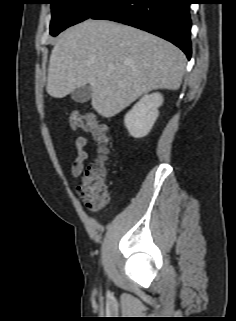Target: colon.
<instances>
[{
	"label": "colon",
	"mask_w": 236,
	"mask_h": 321,
	"mask_svg": "<svg viewBox=\"0 0 236 321\" xmlns=\"http://www.w3.org/2000/svg\"><path fill=\"white\" fill-rule=\"evenodd\" d=\"M69 125L74 130L90 133L98 146V157L88 166L78 185L80 198L90 207L99 209L108 202L106 190L107 166L106 160L110 151L111 138L105 125L99 123L93 114L71 112Z\"/></svg>",
	"instance_id": "5ec220e1"
}]
</instances>
